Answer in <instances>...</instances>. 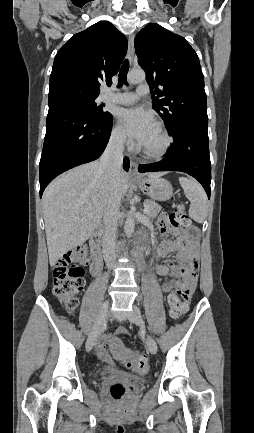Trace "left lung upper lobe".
I'll use <instances>...</instances> for the list:
<instances>
[{
    "label": "left lung upper lobe",
    "instance_id": "1",
    "mask_svg": "<svg viewBox=\"0 0 254 433\" xmlns=\"http://www.w3.org/2000/svg\"><path fill=\"white\" fill-rule=\"evenodd\" d=\"M139 65L155 88L152 107L173 134L188 124L208 126L207 98L199 58L189 43L158 24L135 38Z\"/></svg>",
    "mask_w": 254,
    "mask_h": 433
}]
</instances>
